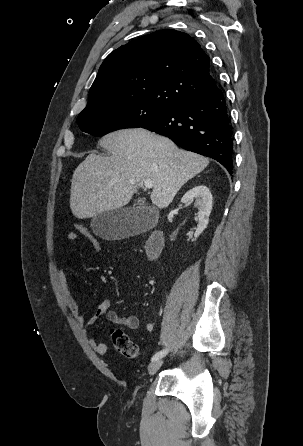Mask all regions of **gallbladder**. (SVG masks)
I'll return each instance as SVG.
<instances>
[{
  "mask_svg": "<svg viewBox=\"0 0 303 446\" xmlns=\"http://www.w3.org/2000/svg\"><path fill=\"white\" fill-rule=\"evenodd\" d=\"M151 214L139 207L119 208L96 215L91 223L93 232L104 239H119L145 230Z\"/></svg>",
  "mask_w": 303,
  "mask_h": 446,
  "instance_id": "obj_1",
  "label": "gallbladder"
}]
</instances>
